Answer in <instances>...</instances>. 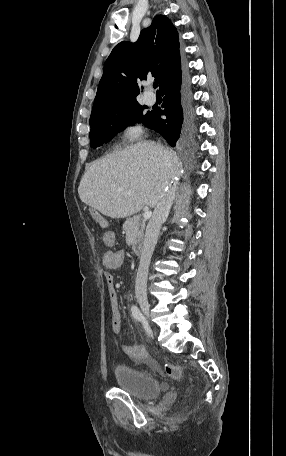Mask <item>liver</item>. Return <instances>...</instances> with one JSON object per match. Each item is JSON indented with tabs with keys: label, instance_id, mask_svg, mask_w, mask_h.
I'll return each instance as SVG.
<instances>
[{
	"label": "liver",
	"instance_id": "obj_1",
	"mask_svg": "<svg viewBox=\"0 0 286 456\" xmlns=\"http://www.w3.org/2000/svg\"><path fill=\"white\" fill-rule=\"evenodd\" d=\"M180 175L175 153L144 141L94 161L78 188L81 201L111 218L155 207L162 189Z\"/></svg>",
	"mask_w": 286,
	"mask_h": 456
}]
</instances>
